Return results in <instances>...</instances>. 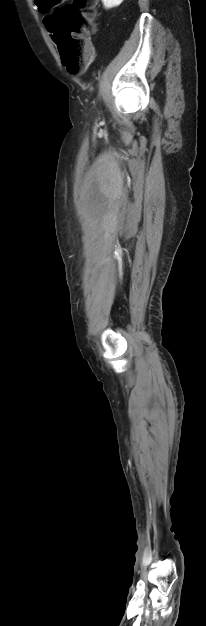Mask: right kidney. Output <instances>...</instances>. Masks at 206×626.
<instances>
[{"mask_svg": "<svg viewBox=\"0 0 206 626\" xmlns=\"http://www.w3.org/2000/svg\"><path fill=\"white\" fill-rule=\"evenodd\" d=\"M103 5L106 9H111L113 7L119 6L123 0H102Z\"/></svg>", "mask_w": 206, "mask_h": 626, "instance_id": "ca27d5eb", "label": "right kidney"}]
</instances>
